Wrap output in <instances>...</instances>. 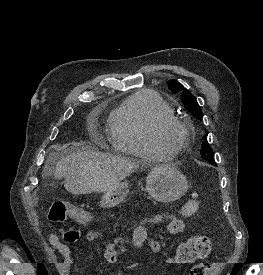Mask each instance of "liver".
I'll list each match as a JSON object with an SVG mask.
<instances>
[{
    "label": "liver",
    "instance_id": "liver-1",
    "mask_svg": "<svg viewBox=\"0 0 263 275\" xmlns=\"http://www.w3.org/2000/svg\"><path fill=\"white\" fill-rule=\"evenodd\" d=\"M137 168L139 164L119 156L82 150L61 156L53 170L47 162L43 175L52 171L56 179H65L68 192L79 195L112 190Z\"/></svg>",
    "mask_w": 263,
    "mask_h": 275
}]
</instances>
